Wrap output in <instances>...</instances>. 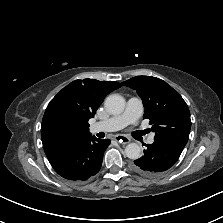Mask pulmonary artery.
<instances>
[{
    "label": "pulmonary artery",
    "mask_w": 223,
    "mask_h": 223,
    "mask_svg": "<svg viewBox=\"0 0 223 223\" xmlns=\"http://www.w3.org/2000/svg\"><path fill=\"white\" fill-rule=\"evenodd\" d=\"M143 112V103L137 97H131L127 101L125 110L118 115H114L106 120L93 123L90 126L92 133L117 131L129 124H135L141 117ZM154 142V136L150 135L147 138V143L152 144Z\"/></svg>",
    "instance_id": "e3ab8cb5"
}]
</instances>
